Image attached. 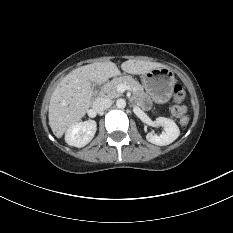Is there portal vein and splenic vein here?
Wrapping results in <instances>:
<instances>
[{"label": "portal vein and splenic vein", "instance_id": "18ae733b", "mask_svg": "<svg viewBox=\"0 0 233 233\" xmlns=\"http://www.w3.org/2000/svg\"><path fill=\"white\" fill-rule=\"evenodd\" d=\"M124 89H127L128 87L127 86H123V85H121Z\"/></svg>", "mask_w": 233, "mask_h": 233}]
</instances>
